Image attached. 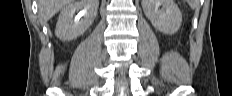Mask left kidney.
I'll return each instance as SVG.
<instances>
[{"label":"left kidney","instance_id":"1","mask_svg":"<svg viewBox=\"0 0 232 96\" xmlns=\"http://www.w3.org/2000/svg\"><path fill=\"white\" fill-rule=\"evenodd\" d=\"M142 8L157 30L169 35L179 30L182 14L174 0H142Z\"/></svg>","mask_w":232,"mask_h":96}]
</instances>
